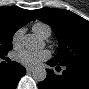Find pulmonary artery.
Segmentation results:
<instances>
[{
	"label": "pulmonary artery",
	"mask_w": 89,
	"mask_h": 89,
	"mask_svg": "<svg viewBox=\"0 0 89 89\" xmlns=\"http://www.w3.org/2000/svg\"><path fill=\"white\" fill-rule=\"evenodd\" d=\"M47 37H49V33H46L43 38L45 39Z\"/></svg>",
	"instance_id": "e3ab8cb5"
}]
</instances>
